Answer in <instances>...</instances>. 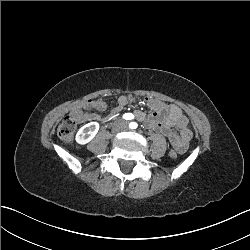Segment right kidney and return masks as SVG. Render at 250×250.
Returning <instances> with one entry per match:
<instances>
[{
  "label": "right kidney",
  "mask_w": 250,
  "mask_h": 250,
  "mask_svg": "<svg viewBox=\"0 0 250 250\" xmlns=\"http://www.w3.org/2000/svg\"><path fill=\"white\" fill-rule=\"evenodd\" d=\"M99 130L98 122H90L82 126L76 134V142L79 144H86L90 142Z\"/></svg>",
  "instance_id": "1"
}]
</instances>
